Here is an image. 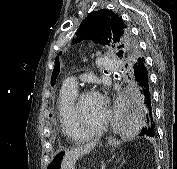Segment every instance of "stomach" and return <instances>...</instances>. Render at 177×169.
<instances>
[{"instance_id": "0dacf381", "label": "stomach", "mask_w": 177, "mask_h": 169, "mask_svg": "<svg viewBox=\"0 0 177 169\" xmlns=\"http://www.w3.org/2000/svg\"><path fill=\"white\" fill-rule=\"evenodd\" d=\"M63 156L64 154L63 153H57L55 154L49 165H48V169H62L61 168V163H62V160H63Z\"/></svg>"}]
</instances>
